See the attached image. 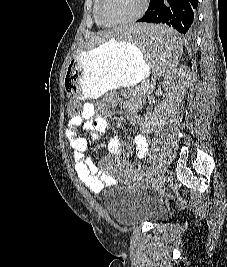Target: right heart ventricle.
Here are the masks:
<instances>
[{"instance_id":"obj_1","label":"right heart ventricle","mask_w":227,"mask_h":267,"mask_svg":"<svg viewBox=\"0 0 227 267\" xmlns=\"http://www.w3.org/2000/svg\"><path fill=\"white\" fill-rule=\"evenodd\" d=\"M99 0H94L93 14L98 25L106 26L107 24L102 21L98 13Z\"/></svg>"}]
</instances>
